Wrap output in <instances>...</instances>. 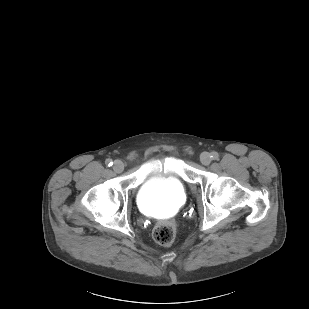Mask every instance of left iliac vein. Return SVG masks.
Wrapping results in <instances>:
<instances>
[{
  "label": "left iliac vein",
  "instance_id": "left-iliac-vein-1",
  "mask_svg": "<svg viewBox=\"0 0 309 309\" xmlns=\"http://www.w3.org/2000/svg\"><path fill=\"white\" fill-rule=\"evenodd\" d=\"M200 161L203 165H209L212 161V158L209 153L204 152L200 155Z\"/></svg>",
  "mask_w": 309,
  "mask_h": 309
}]
</instances>
